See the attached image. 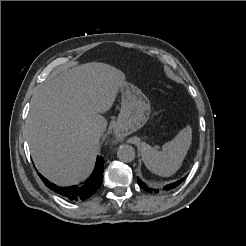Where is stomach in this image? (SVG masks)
<instances>
[{"label": "stomach", "mask_w": 246, "mask_h": 246, "mask_svg": "<svg viewBox=\"0 0 246 246\" xmlns=\"http://www.w3.org/2000/svg\"><path fill=\"white\" fill-rule=\"evenodd\" d=\"M122 102L118 117L119 131L130 134L143 127L149 119L150 102L143 92L132 84L121 87Z\"/></svg>", "instance_id": "1"}]
</instances>
